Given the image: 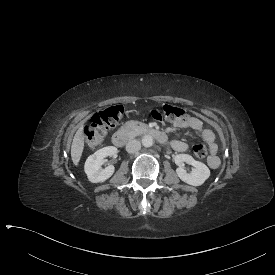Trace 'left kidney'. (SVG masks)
<instances>
[{
	"mask_svg": "<svg viewBox=\"0 0 275 275\" xmlns=\"http://www.w3.org/2000/svg\"><path fill=\"white\" fill-rule=\"evenodd\" d=\"M174 161L179 166L176 169L178 177L187 184L200 186L210 176L209 168L188 154H178L174 157ZM184 162L194 166V169L190 173H187L184 169Z\"/></svg>",
	"mask_w": 275,
	"mask_h": 275,
	"instance_id": "5707ae66",
	"label": "left kidney"
}]
</instances>
